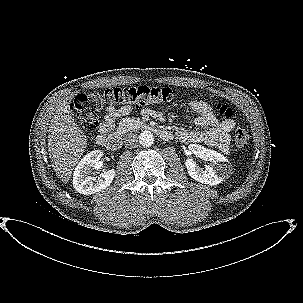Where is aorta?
I'll use <instances>...</instances> for the list:
<instances>
[{
    "mask_svg": "<svg viewBox=\"0 0 303 303\" xmlns=\"http://www.w3.org/2000/svg\"><path fill=\"white\" fill-rule=\"evenodd\" d=\"M139 142L143 147H149L154 142V136L150 131H143L139 135Z\"/></svg>",
    "mask_w": 303,
    "mask_h": 303,
    "instance_id": "obj_1",
    "label": "aorta"
}]
</instances>
